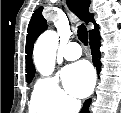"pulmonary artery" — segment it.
Here are the masks:
<instances>
[{"label":"pulmonary artery","mask_w":121,"mask_h":113,"mask_svg":"<svg viewBox=\"0 0 121 113\" xmlns=\"http://www.w3.org/2000/svg\"><path fill=\"white\" fill-rule=\"evenodd\" d=\"M63 57L68 61H74L82 55V50L76 42H70L62 52Z\"/></svg>","instance_id":"1"}]
</instances>
